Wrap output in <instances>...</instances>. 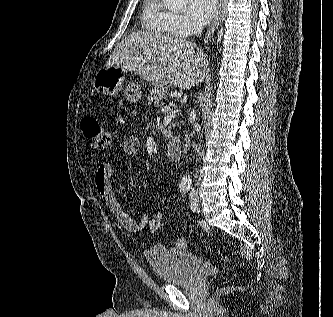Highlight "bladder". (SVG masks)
Listing matches in <instances>:
<instances>
[{
  "instance_id": "31cf9c89",
  "label": "bladder",
  "mask_w": 333,
  "mask_h": 317,
  "mask_svg": "<svg viewBox=\"0 0 333 317\" xmlns=\"http://www.w3.org/2000/svg\"><path fill=\"white\" fill-rule=\"evenodd\" d=\"M145 258L157 279L165 284H190L203 267L199 255L163 246L149 248Z\"/></svg>"
}]
</instances>
